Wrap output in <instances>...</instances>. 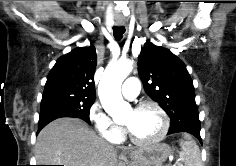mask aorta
<instances>
[{
	"instance_id": "1",
	"label": "aorta",
	"mask_w": 236,
	"mask_h": 166,
	"mask_svg": "<svg viewBox=\"0 0 236 166\" xmlns=\"http://www.w3.org/2000/svg\"><path fill=\"white\" fill-rule=\"evenodd\" d=\"M133 62L121 60L109 65L105 70L99 86L98 95L104 110L113 118H116L131 109L123 100L121 84L132 71Z\"/></svg>"
}]
</instances>
